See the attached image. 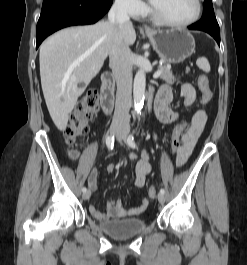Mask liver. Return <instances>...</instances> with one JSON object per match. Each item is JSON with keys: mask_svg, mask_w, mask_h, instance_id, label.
<instances>
[{"mask_svg": "<svg viewBox=\"0 0 247 265\" xmlns=\"http://www.w3.org/2000/svg\"><path fill=\"white\" fill-rule=\"evenodd\" d=\"M119 32L124 43L134 44L133 26L122 27ZM114 33L110 22L103 21L63 29L41 45L42 91L49 114L59 130H65L78 97L102 68Z\"/></svg>", "mask_w": 247, "mask_h": 265, "instance_id": "liver-1", "label": "liver"}]
</instances>
